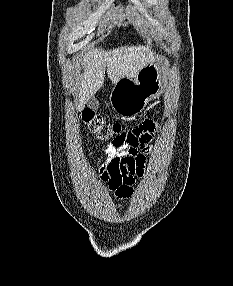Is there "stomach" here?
I'll list each match as a JSON object with an SVG mask.
<instances>
[{
    "label": "stomach",
    "instance_id": "0dacf381",
    "mask_svg": "<svg viewBox=\"0 0 233 286\" xmlns=\"http://www.w3.org/2000/svg\"><path fill=\"white\" fill-rule=\"evenodd\" d=\"M163 64L153 61L133 78L123 77L114 86L110 103L114 111L124 118L139 114L152 99L162 93Z\"/></svg>",
    "mask_w": 233,
    "mask_h": 286
}]
</instances>
